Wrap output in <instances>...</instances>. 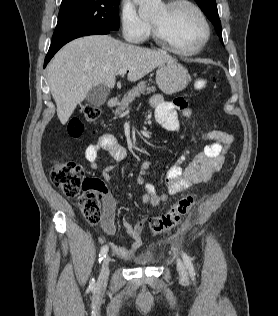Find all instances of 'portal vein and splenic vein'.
Here are the masks:
<instances>
[{
	"mask_svg": "<svg viewBox=\"0 0 278 316\" xmlns=\"http://www.w3.org/2000/svg\"><path fill=\"white\" fill-rule=\"evenodd\" d=\"M126 72H127V69H120V70L118 71V74H119V75H124V74H126Z\"/></svg>",
	"mask_w": 278,
	"mask_h": 316,
	"instance_id": "18ae733b",
	"label": "portal vein and splenic vein"
}]
</instances>
